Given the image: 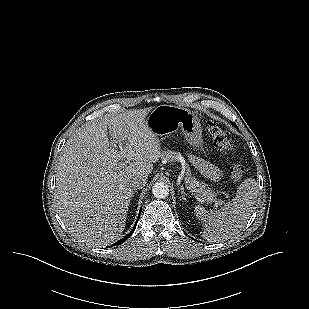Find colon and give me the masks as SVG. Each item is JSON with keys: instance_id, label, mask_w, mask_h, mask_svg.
Segmentation results:
<instances>
[{"instance_id": "1", "label": "colon", "mask_w": 309, "mask_h": 309, "mask_svg": "<svg viewBox=\"0 0 309 309\" xmlns=\"http://www.w3.org/2000/svg\"><path fill=\"white\" fill-rule=\"evenodd\" d=\"M207 130L215 146L229 156L231 178L240 181L244 175V167L240 162L233 160L235 147L230 135L213 122L207 124Z\"/></svg>"}]
</instances>
